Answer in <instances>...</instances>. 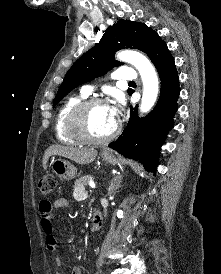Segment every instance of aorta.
I'll use <instances>...</instances> for the list:
<instances>
[{"label": "aorta", "mask_w": 221, "mask_h": 274, "mask_svg": "<svg viewBox=\"0 0 221 274\" xmlns=\"http://www.w3.org/2000/svg\"><path fill=\"white\" fill-rule=\"evenodd\" d=\"M116 57L120 61L130 63L140 73L143 82L140 110L143 113L150 111L156 102L159 92V82L155 68L144 55L137 51H120Z\"/></svg>", "instance_id": "762f6f07"}]
</instances>
